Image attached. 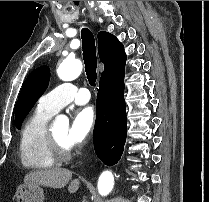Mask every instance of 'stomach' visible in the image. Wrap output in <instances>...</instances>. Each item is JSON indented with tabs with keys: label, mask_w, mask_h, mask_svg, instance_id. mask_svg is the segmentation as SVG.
<instances>
[{
	"label": "stomach",
	"mask_w": 209,
	"mask_h": 202,
	"mask_svg": "<svg viewBox=\"0 0 209 202\" xmlns=\"http://www.w3.org/2000/svg\"><path fill=\"white\" fill-rule=\"evenodd\" d=\"M17 202H43L44 191L40 185L21 184L16 190Z\"/></svg>",
	"instance_id": "0dacf381"
}]
</instances>
